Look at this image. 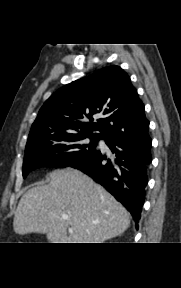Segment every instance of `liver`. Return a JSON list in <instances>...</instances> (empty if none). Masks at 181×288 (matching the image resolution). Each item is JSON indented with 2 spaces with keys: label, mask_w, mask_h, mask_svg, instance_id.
<instances>
[{
  "label": "liver",
  "mask_w": 181,
  "mask_h": 288,
  "mask_svg": "<svg viewBox=\"0 0 181 288\" xmlns=\"http://www.w3.org/2000/svg\"><path fill=\"white\" fill-rule=\"evenodd\" d=\"M48 177L47 185L21 197L13 221L17 234L43 233L51 243H103L128 229V211L81 171L67 167Z\"/></svg>",
  "instance_id": "obj_1"
}]
</instances>
